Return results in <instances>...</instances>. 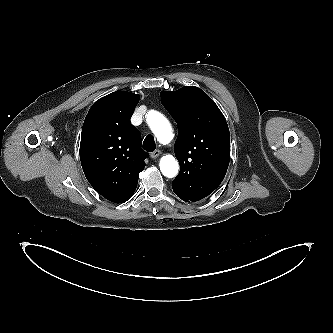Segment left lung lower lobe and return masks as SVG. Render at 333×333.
Masks as SVG:
<instances>
[{
	"label": "left lung lower lobe",
	"mask_w": 333,
	"mask_h": 333,
	"mask_svg": "<svg viewBox=\"0 0 333 333\" xmlns=\"http://www.w3.org/2000/svg\"><path fill=\"white\" fill-rule=\"evenodd\" d=\"M184 201H186V202H191V201H189V200H185V199H183Z\"/></svg>",
	"instance_id": "obj_1"
}]
</instances>
